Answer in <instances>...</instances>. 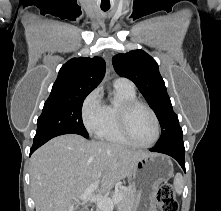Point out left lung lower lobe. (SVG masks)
Returning <instances> with one entry per match:
<instances>
[{
	"label": "left lung lower lobe",
	"instance_id": "0a47b994",
	"mask_svg": "<svg viewBox=\"0 0 221 211\" xmlns=\"http://www.w3.org/2000/svg\"><path fill=\"white\" fill-rule=\"evenodd\" d=\"M150 151L163 153L173 157L185 171V148L183 141L173 142L163 146H155L150 149Z\"/></svg>",
	"mask_w": 221,
	"mask_h": 211
}]
</instances>
